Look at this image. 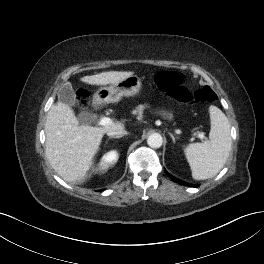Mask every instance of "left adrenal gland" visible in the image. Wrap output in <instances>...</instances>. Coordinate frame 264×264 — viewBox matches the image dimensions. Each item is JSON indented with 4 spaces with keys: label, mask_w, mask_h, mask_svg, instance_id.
Instances as JSON below:
<instances>
[{
    "label": "left adrenal gland",
    "mask_w": 264,
    "mask_h": 264,
    "mask_svg": "<svg viewBox=\"0 0 264 264\" xmlns=\"http://www.w3.org/2000/svg\"><path fill=\"white\" fill-rule=\"evenodd\" d=\"M169 135H170V137L172 138L173 143H175L176 138L174 137V135H173L172 133H170V132H169Z\"/></svg>",
    "instance_id": "obj_1"
}]
</instances>
